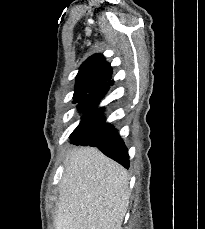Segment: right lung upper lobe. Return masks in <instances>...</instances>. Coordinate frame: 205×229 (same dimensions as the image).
I'll use <instances>...</instances> for the list:
<instances>
[{"label": "right lung upper lobe", "mask_w": 205, "mask_h": 229, "mask_svg": "<svg viewBox=\"0 0 205 229\" xmlns=\"http://www.w3.org/2000/svg\"><path fill=\"white\" fill-rule=\"evenodd\" d=\"M112 70L101 54L89 57L80 67L75 84V101L100 87L111 78Z\"/></svg>", "instance_id": "obj_1"}]
</instances>
